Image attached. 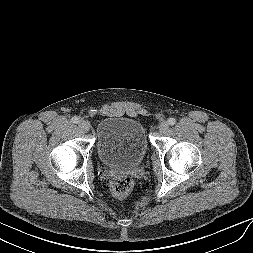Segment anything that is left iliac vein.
I'll return each instance as SVG.
<instances>
[{
    "mask_svg": "<svg viewBox=\"0 0 253 253\" xmlns=\"http://www.w3.org/2000/svg\"><path fill=\"white\" fill-rule=\"evenodd\" d=\"M168 128H169V124L166 121L161 122L159 125V131L161 133H165L168 130Z\"/></svg>",
    "mask_w": 253,
    "mask_h": 253,
    "instance_id": "1",
    "label": "left iliac vein"
}]
</instances>
